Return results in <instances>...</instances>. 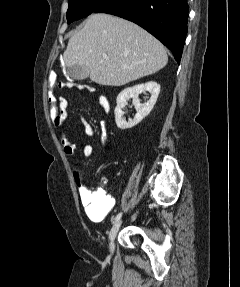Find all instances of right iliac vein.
<instances>
[{
	"label": "right iliac vein",
	"mask_w": 240,
	"mask_h": 287,
	"mask_svg": "<svg viewBox=\"0 0 240 287\" xmlns=\"http://www.w3.org/2000/svg\"><path fill=\"white\" fill-rule=\"evenodd\" d=\"M120 226H121V221L119 220L112 226V228L109 232V248H110L111 252L114 249V240L116 238V235L119 231Z\"/></svg>",
	"instance_id": "63e3f726"
}]
</instances>
